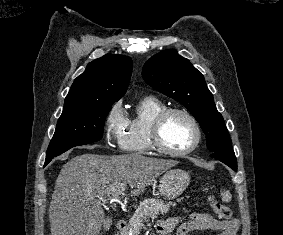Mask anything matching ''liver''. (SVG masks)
I'll use <instances>...</instances> for the list:
<instances>
[{
  "instance_id": "1",
  "label": "liver",
  "mask_w": 283,
  "mask_h": 235,
  "mask_svg": "<svg viewBox=\"0 0 283 235\" xmlns=\"http://www.w3.org/2000/svg\"><path fill=\"white\" fill-rule=\"evenodd\" d=\"M178 161L141 154L78 155L64 164L55 182L49 207L51 235H99L105 226L103 199L110 200L121 185L133 189L131 197ZM110 227V225H109Z\"/></svg>"
}]
</instances>
